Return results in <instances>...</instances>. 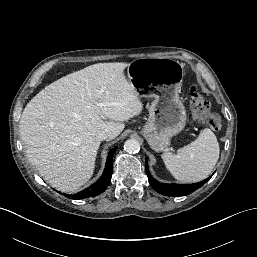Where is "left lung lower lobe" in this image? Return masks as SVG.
Here are the masks:
<instances>
[{
	"instance_id": "0a47b994",
	"label": "left lung lower lobe",
	"mask_w": 257,
	"mask_h": 257,
	"mask_svg": "<svg viewBox=\"0 0 257 257\" xmlns=\"http://www.w3.org/2000/svg\"><path fill=\"white\" fill-rule=\"evenodd\" d=\"M146 173L147 177L149 180L150 185L154 190H156L158 193L166 195V196H185L188 195L198 188H200L203 184H205L211 177L207 178L206 180L200 182V183H195V184H184V185H179V184H163L160 183L159 181L155 180L149 173L148 169V163L146 160Z\"/></svg>"
}]
</instances>
